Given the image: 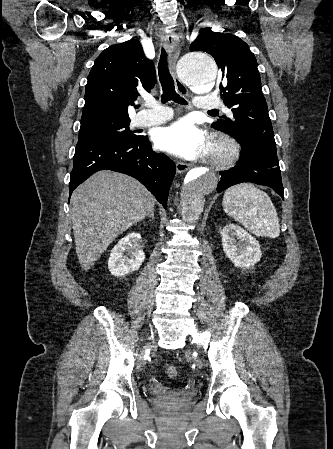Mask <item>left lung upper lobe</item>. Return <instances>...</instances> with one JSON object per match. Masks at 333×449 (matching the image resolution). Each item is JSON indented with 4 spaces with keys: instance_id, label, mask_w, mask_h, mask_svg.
<instances>
[{
    "instance_id": "5c2ea615",
    "label": "left lung upper lobe",
    "mask_w": 333,
    "mask_h": 449,
    "mask_svg": "<svg viewBox=\"0 0 333 449\" xmlns=\"http://www.w3.org/2000/svg\"><path fill=\"white\" fill-rule=\"evenodd\" d=\"M190 50L212 55L223 73L222 99L233 115L222 116L212 127L235 138L247 153L277 158L257 61L249 46L233 34L207 28L201 31Z\"/></svg>"
}]
</instances>
